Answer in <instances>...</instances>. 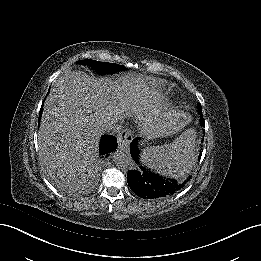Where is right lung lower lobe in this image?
Returning <instances> with one entry per match:
<instances>
[{
	"label": "right lung lower lobe",
	"instance_id": "right-lung-lower-lobe-1",
	"mask_svg": "<svg viewBox=\"0 0 261 261\" xmlns=\"http://www.w3.org/2000/svg\"><path fill=\"white\" fill-rule=\"evenodd\" d=\"M42 108L43 106L40 109L39 116H41ZM116 148H117V141L114 136L104 135L101 138L99 152L102 158H106L107 156H109V153L114 151Z\"/></svg>",
	"mask_w": 261,
	"mask_h": 261
}]
</instances>
